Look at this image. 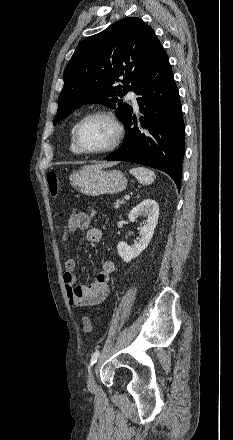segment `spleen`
I'll return each mask as SVG.
<instances>
[{"instance_id": "1", "label": "spleen", "mask_w": 233, "mask_h": 440, "mask_svg": "<svg viewBox=\"0 0 233 440\" xmlns=\"http://www.w3.org/2000/svg\"><path fill=\"white\" fill-rule=\"evenodd\" d=\"M130 174L133 175L141 184L149 185L154 182L155 173L146 167H135L130 169Z\"/></svg>"}]
</instances>
